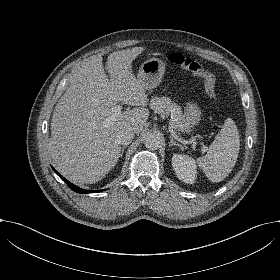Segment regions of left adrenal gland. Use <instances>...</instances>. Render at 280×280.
I'll return each mask as SVG.
<instances>
[{
  "mask_svg": "<svg viewBox=\"0 0 280 280\" xmlns=\"http://www.w3.org/2000/svg\"><path fill=\"white\" fill-rule=\"evenodd\" d=\"M173 145H176V146L180 147L181 149H184V147L181 144H179L176 141H174L173 137L170 136L169 146H173Z\"/></svg>",
  "mask_w": 280,
  "mask_h": 280,
  "instance_id": "a2214340",
  "label": "left adrenal gland"
}]
</instances>
